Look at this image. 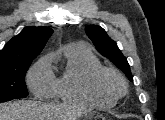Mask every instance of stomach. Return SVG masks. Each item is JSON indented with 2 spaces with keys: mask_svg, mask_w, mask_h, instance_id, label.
Segmentation results:
<instances>
[{
  "mask_svg": "<svg viewBox=\"0 0 165 120\" xmlns=\"http://www.w3.org/2000/svg\"><path fill=\"white\" fill-rule=\"evenodd\" d=\"M98 118H102V120H106L102 114L96 111H88V112L83 113L80 116V119H84V120H91V119H98Z\"/></svg>",
  "mask_w": 165,
  "mask_h": 120,
  "instance_id": "stomach-1",
  "label": "stomach"
}]
</instances>
